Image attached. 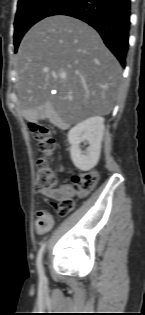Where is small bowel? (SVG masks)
<instances>
[{
  "label": "small bowel",
  "instance_id": "small-bowel-1",
  "mask_svg": "<svg viewBox=\"0 0 145 315\" xmlns=\"http://www.w3.org/2000/svg\"><path fill=\"white\" fill-rule=\"evenodd\" d=\"M75 194V190L70 185H62L58 188L50 189L45 192V195L50 199L59 201L61 198ZM54 224L53 217L43 211L39 212L36 221L35 232L38 235H43L51 230Z\"/></svg>",
  "mask_w": 145,
  "mask_h": 315
}]
</instances>
